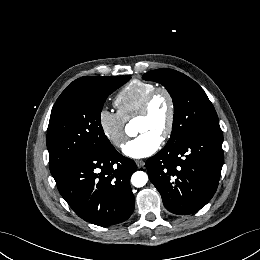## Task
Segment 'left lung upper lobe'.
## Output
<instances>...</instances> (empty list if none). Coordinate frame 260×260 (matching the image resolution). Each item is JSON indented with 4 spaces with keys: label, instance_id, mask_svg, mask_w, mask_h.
<instances>
[{
    "label": "left lung upper lobe",
    "instance_id": "left-lung-upper-lobe-1",
    "mask_svg": "<svg viewBox=\"0 0 260 260\" xmlns=\"http://www.w3.org/2000/svg\"><path fill=\"white\" fill-rule=\"evenodd\" d=\"M143 79L161 83L173 99V127L166 145H174L198 131L220 128L206 93L188 76L172 69H158L144 74Z\"/></svg>",
    "mask_w": 260,
    "mask_h": 260
}]
</instances>
